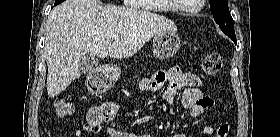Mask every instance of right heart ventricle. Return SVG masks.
<instances>
[{
	"instance_id": "right-heart-ventricle-1",
	"label": "right heart ventricle",
	"mask_w": 280,
	"mask_h": 137,
	"mask_svg": "<svg viewBox=\"0 0 280 137\" xmlns=\"http://www.w3.org/2000/svg\"><path fill=\"white\" fill-rule=\"evenodd\" d=\"M150 1H159V0H150ZM146 9H151V8H146ZM151 10H153V9H151Z\"/></svg>"
}]
</instances>
